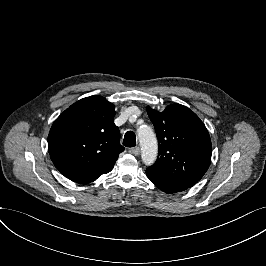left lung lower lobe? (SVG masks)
<instances>
[{"label": "left lung lower lobe", "instance_id": "obj_1", "mask_svg": "<svg viewBox=\"0 0 266 266\" xmlns=\"http://www.w3.org/2000/svg\"><path fill=\"white\" fill-rule=\"evenodd\" d=\"M147 177L162 191L166 193H176L188 189V187L178 184L172 181H169L165 178H162L154 173L146 171Z\"/></svg>", "mask_w": 266, "mask_h": 266}]
</instances>
